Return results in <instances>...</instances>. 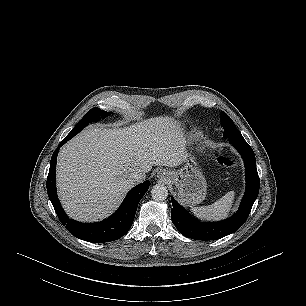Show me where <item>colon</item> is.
<instances>
[{"mask_svg":"<svg viewBox=\"0 0 306 306\" xmlns=\"http://www.w3.org/2000/svg\"><path fill=\"white\" fill-rule=\"evenodd\" d=\"M216 161L219 165L230 167L236 164V159L231 154H222L216 158Z\"/></svg>","mask_w":306,"mask_h":306,"instance_id":"colon-1","label":"colon"}]
</instances>
